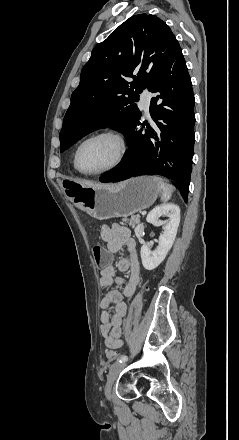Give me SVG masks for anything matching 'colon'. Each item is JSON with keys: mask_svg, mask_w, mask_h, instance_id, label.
Wrapping results in <instances>:
<instances>
[{"mask_svg": "<svg viewBox=\"0 0 239 440\" xmlns=\"http://www.w3.org/2000/svg\"><path fill=\"white\" fill-rule=\"evenodd\" d=\"M93 255L98 266L105 267L110 263V256L108 252L101 246H95L93 249ZM105 356L108 360H112L115 356L113 349H108L105 352Z\"/></svg>", "mask_w": 239, "mask_h": 440, "instance_id": "5ec220e1", "label": "colon"}]
</instances>
